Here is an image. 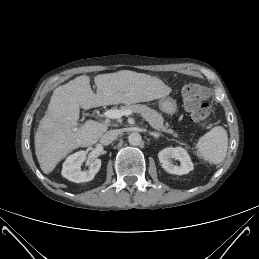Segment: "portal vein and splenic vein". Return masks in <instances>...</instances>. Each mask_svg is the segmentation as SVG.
<instances>
[{"label": "portal vein and splenic vein", "mask_w": 259, "mask_h": 259, "mask_svg": "<svg viewBox=\"0 0 259 259\" xmlns=\"http://www.w3.org/2000/svg\"><path fill=\"white\" fill-rule=\"evenodd\" d=\"M131 114H132L131 110L122 111V110H118V109H109L104 112V116L106 118H110V119H119L122 116H128Z\"/></svg>", "instance_id": "portal-vein-and-splenic-vein-1"}]
</instances>
